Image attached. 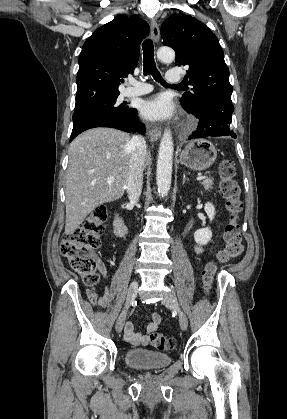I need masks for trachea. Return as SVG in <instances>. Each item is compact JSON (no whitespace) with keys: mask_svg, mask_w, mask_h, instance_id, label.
<instances>
[{"mask_svg":"<svg viewBox=\"0 0 287 419\" xmlns=\"http://www.w3.org/2000/svg\"><path fill=\"white\" fill-rule=\"evenodd\" d=\"M143 66L145 76L152 75L157 82H160L164 86H170L162 79L161 74L156 68L154 61V45L150 39L143 42ZM173 86H181V84Z\"/></svg>","mask_w":287,"mask_h":419,"instance_id":"1","label":"trachea"}]
</instances>
